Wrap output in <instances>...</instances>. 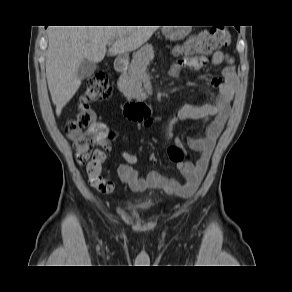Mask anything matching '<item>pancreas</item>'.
Returning a JSON list of instances; mask_svg holds the SVG:
<instances>
[{
  "label": "pancreas",
  "mask_w": 292,
  "mask_h": 292,
  "mask_svg": "<svg viewBox=\"0 0 292 292\" xmlns=\"http://www.w3.org/2000/svg\"><path fill=\"white\" fill-rule=\"evenodd\" d=\"M153 59L154 50L152 45H145L136 52L128 71L123 72L118 80V88L126 98H135L140 94L143 75L148 64Z\"/></svg>",
  "instance_id": "obj_1"
}]
</instances>
